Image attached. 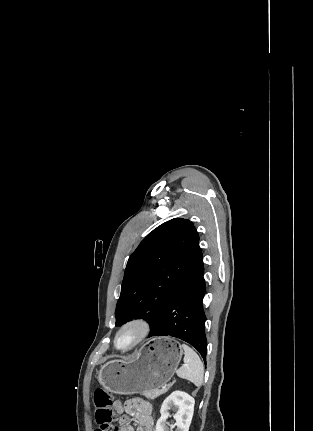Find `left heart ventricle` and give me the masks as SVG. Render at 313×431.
<instances>
[{"label": "left heart ventricle", "mask_w": 313, "mask_h": 431, "mask_svg": "<svg viewBox=\"0 0 313 431\" xmlns=\"http://www.w3.org/2000/svg\"><path fill=\"white\" fill-rule=\"evenodd\" d=\"M138 334L139 330L136 327H130L125 329L118 337V346L121 348L128 347L136 340Z\"/></svg>", "instance_id": "obj_1"}]
</instances>
